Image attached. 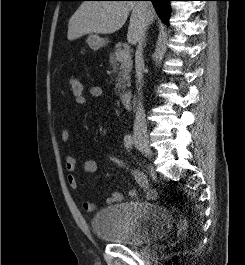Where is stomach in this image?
Returning a JSON list of instances; mask_svg holds the SVG:
<instances>
[{
	"mask_svg": "<svg viewBox=\"0 0 245 265\" xmlns=\"http://www.w3.org/2000/svg\"><path fill=\"white\" fill-rule=\"evenodd\" d=\"M86 42L88 46L94 51L99 50L107 44V41L105 39L94 34H90Z\"/></svg>",
	"mask_w": 245,
	"mask_h": 265,
	"instance_id": "stomach-1",
	"label": "stomach"
}]
</instances>
